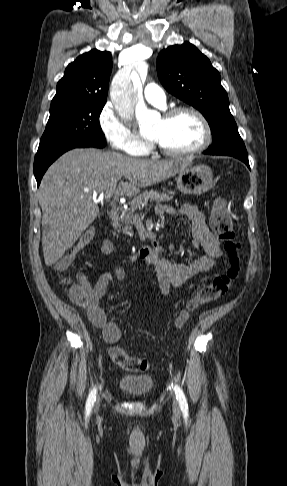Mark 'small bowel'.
<instances>
[{
  "label": "small bowel",
  "mask_w": 287,
  "mask_h": 486,
  "mask_svg": "<svg viewBox=\"0 0 287 486\" xmlns=\"http://www.w3.org/2000/svg\"><path fill=\"white\" fill-rule=\"evenodd\" d=\"M156 212L160 215H176L174 209L167 205L157 206ZM179 214L190 223L189 248L200 256L190 262L173 261L165 256L162 248L156 247V250L145 260L155 268L162 294H168L172 287H178L193 276L209 271L223 256L219 239L210 230L205 215L196 206L185 204ZM174 248V245L169 246L170 250ZM113 249L111 240L105 239L101 242L100 250L103 255H110ZM113 275L118 280H122L125 273L120 266L113 265L111 271L102 273L94 284L88 282L82 275L78 277L88 295V302L84 305L88 318L96 328L101 330L105 342L110 344L120 339L121 330L117 324L107 319L105 311L100 306V300L105 295Z\"/></svg>",
  "instance_id": "small-bowel-1"
}]
</instances>
